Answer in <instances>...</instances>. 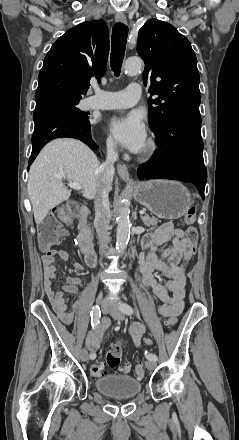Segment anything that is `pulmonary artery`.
Segmentation results:
<instances>
[{"instance_id":"pulmonary-artery-1","label":"pulmonary artery","mask_w":239,"mask_h":440,"mask_svg":"<svg viewBox=\"0 0 239 440\" xmlns=\"http://www.w3.org/2000/svg\"><path fill=\"white\" fill-rule=\"evenodd\" d=\"M94 95L85 100L87 110H109L117 108H128L134 106L140 98L141 86L133 83L125 90L119 92H107L94 87ZM105 98L106 100H99Z\"/></svg>"}]
</instances>
